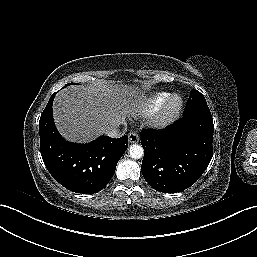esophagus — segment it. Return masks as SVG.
Masks as SVG:
<instances>
[{
    "instance_id": "esophagus-1",
    "label": "esophagus",
    "mask_w": 257,
    "mask_h": 257,
    "mask_svg": "<svg viewBox=\"0 0 257 257\" xmlns=\"http://www.w3.org/2000/svg\"><path fill=\"white\" fill-rule=\"evenodd\" d=\"M128 141L129 143L133 144V143H137L139 142V136L136 132H130L128 134Z\"/></svg>"
}]
</instances>
